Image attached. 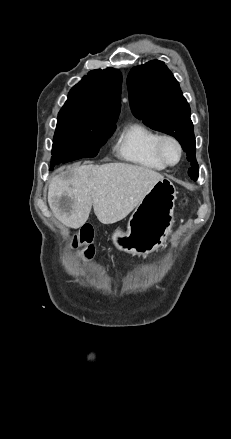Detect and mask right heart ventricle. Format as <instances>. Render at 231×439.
Segmentation results:
<instances>
[{"instance_id":"obj_1","label":"right heart ventricle","mask_w":231,"mask_h":439,"mask_svg":"<svg viewBox=\"0 0 231 439\" xmlns=\"http://www.w3.org/2000/svg\"><path fill=\"white\" fill-rule=\"evenodd\" d=\"M159 134L142 123L134 122L126 125L120 132L115 151L119 157L139 167L163 171L166 166L159 160L155 152V143Z\"/></svg>"}]
</instances>
